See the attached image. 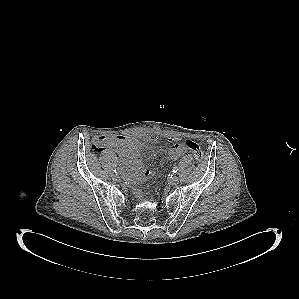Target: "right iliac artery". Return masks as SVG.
<instances>
[{"label": "right iliac artery", "instance_id": "obj_1", "mask_svg": "<svg viewBox=\"0 0 299 299\" xmlns=\"http://www.w3.org/2000/svg\"><path fill=\"white\" fill-rule=\"evenodd\" d=\"M114 172H115L116 174H118L120 171H119V169H115Z\"/></svg>", "mask_w": 299, "mask_h": 299}]
</instances>
